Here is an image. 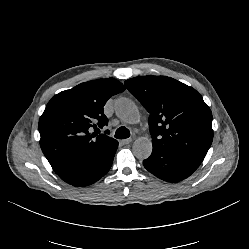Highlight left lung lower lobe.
I'll return each mask as SVG.
<instances>
[{
  "label": "left lung lower lobe",
  "instance_id": "1",
  "mask_svg": "<svg viewBox=\"0 0 249 249\" xmlns=\"http://www.w3.org/2000/svg\"><path fill=\"white\" fill-rule=\"evenodd\" d=\"M203 158L190 156L153 144V152L143 161L144 167L156 177L178 182L190 176L202 163Z\"/></svg>",
  "mask_w": 249,
  "mask_h": 249
}]
</instances>
